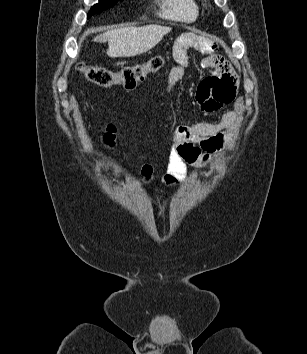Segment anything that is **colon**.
I'll use <instances>...</instances> for the list:
<instances>
[{
	"instance_id": "colon-1",
	"label": "colon",
	"mask_w": 307,
	"mask_h": 354,
	"mask_svg": "<svg viewBox=\"0 0 307 354\" xmlns=\"http://www.w3.org/2000/svg\"><path fill=\"white\" fill-rule=\"evenodd\" d=\"M165 64V57L155 55L144 62L125 65L117 70L87 63H80L78 68L84 77L94 85L104 88L119 85L131 90L146 76L160 71Z\"/></svg>"
}]
</instances>
